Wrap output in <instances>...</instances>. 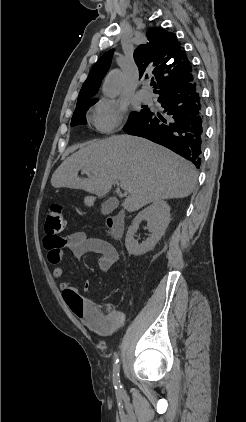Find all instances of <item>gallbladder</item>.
<instances>
[{"instance_id":"1","label":"gallbladder","mask_w":246,"mask_h":422,"mask_svg":"<svg viewBox=\"0 0 246 422\" xmlns=\"http://www.w3.org/2000/svg\"><path fill=\"white\" fill-rule=\"evenodd\" d=\"M118 207V200L115 197H110L102 204L101 212L103 214H110Z\"/></svg>"}]
</instances>
